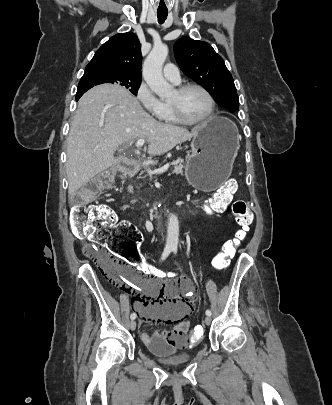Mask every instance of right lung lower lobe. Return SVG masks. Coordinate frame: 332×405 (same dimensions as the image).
Returning <instances> with one entry per match:
<instances>
[{
    "instance_id": "1",
    "label": "right lung lower lobe",
    "mask_w": 332,
    "mask_h": 405,
    "mask_svg": "<svg viewBox=\"0 0 332 405\" xmlns=\"http://www.w3.org/2000/svg\"><path fill=\"white\" fill-rule=\"evenodd\" d=\"M83 94H84V93H78V94H76V101H78L79 98H80Z\"/></svg>"
}]
</instances>
